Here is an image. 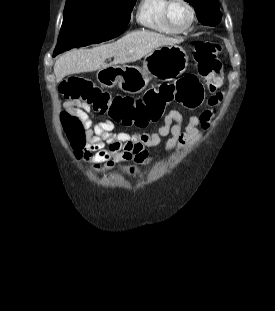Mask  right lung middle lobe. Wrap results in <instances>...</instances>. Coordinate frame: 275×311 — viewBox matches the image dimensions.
<instances>
[{"mask_svg": "<svg viewBox=\"0 0 275 311\" xmlns=\"http://www.w3.org/2000/svg\"><path fill=\"white\" fill-rule=\"evenodd\" d=\"M136 0L66 1L54 55L74 47L99 43L129 23Z\"/></svg>", "mask_w": 275, "mask_h": 311, "instance_id": "right-lung-middle-lobe-1", "label": "right lung middle lobe"}]
</instances>
